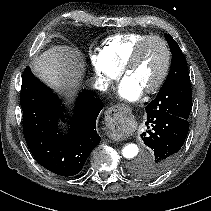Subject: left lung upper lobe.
Listing matches in <instances>:
<instances>
[{
  "mask_svg": "<svg viewBox=\"0 0 211 211\" xmlns=\"http://www.w3.org/2000/svg\"><path fill=\"white\" fill-rule=\"evenodd\" d=\"M172 53L171 70L156 98L146 106L147 117L170 114L188 120L192 89L186 59L171 35L165 34ZM136 173L143 176L141 168Z\"/></svg>",
  "mask_w": 211,
  "mask_h": 211,
  "instance_id": "obj_1",
  "label": "left lung upper lobe"
}]
</instances>
